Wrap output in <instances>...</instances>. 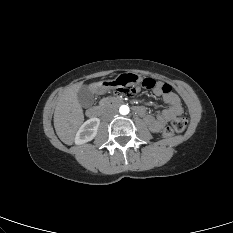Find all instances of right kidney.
<instances>
[{
  "label": "right kidney",
  "instance_id": "ca27d5eb",
  "mask_svg": "<svg viewBox=\"0 0 233 233\" xmlns=\"http://www.w3.org/2000/svg\"><path fill=\"white\" fill-rule=\"evenodd\" d=\"M100 125L99 118H91L84 122L82 126L79 128L76 136L75 143L76 144H84L93 140L97 134L98 127Z\"/></svg>",
  "mask_w": 233,
  "mask_h": 233
}]
</instances>
